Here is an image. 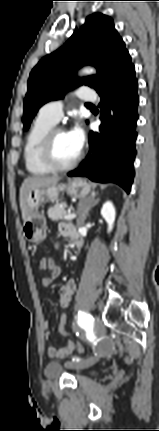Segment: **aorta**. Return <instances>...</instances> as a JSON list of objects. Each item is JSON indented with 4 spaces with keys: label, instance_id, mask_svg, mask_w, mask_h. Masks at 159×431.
I'll return each instance as SVG.
<instances>
[{
    "label": "aorta",
    "instance_id": "obj_1",
    "mask_svg": "<svg viewBox=\"0 0 159 431\" xmlns=\"http://www.w3.org/2000/svg\"><path fill=\"white\" fill-rule=\"evenodd\" d=\"M86 73H92V70H85Z\"/></svg>",
    "mask_w": 159,
    "mask_h": 431
}]
</instances>
